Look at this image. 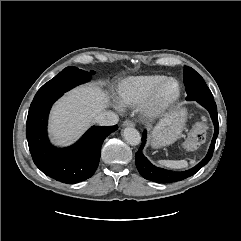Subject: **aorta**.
I'll use <instances>...</instances> for the list:
<instances>
[{
    "label": "aorta",
    "mask_w": 241,
    "mask_h": 241,
    "mask_svg": "<svg viewBox=\"0 0 241 241\" xmlns=\"http://www.w3.org/2000/svg\"><path fill=\"white\" fill-rule=\"evenodd\" d=\"M125 140L132 146L138 145L141 142V135L137 129L127 127L123 130Z\"/></svg>",
    "instance_id": "aorta-1"
}]
</instances>
